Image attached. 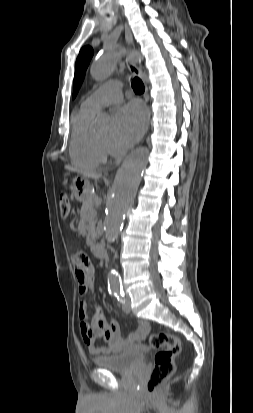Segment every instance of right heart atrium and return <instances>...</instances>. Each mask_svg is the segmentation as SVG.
<instances>
[{
  "label": "right heart atrium",
  "instance_id": "obj_1",
  "mask_svg": "<svg viewBox=\"0 0 253 413\" xmlns=\"http://www.w3.org/2000/svg\"><path fill=\"white\" fill-rule=\"evenodd\" d=\"M104 146H105V149H106L107 153L112 154V153L115 152V148L113 147L112 144L106 142V143H104Z\"/></svg>",
  "mask_w": 253,
  "mask_h": 413
}]
</instances>
